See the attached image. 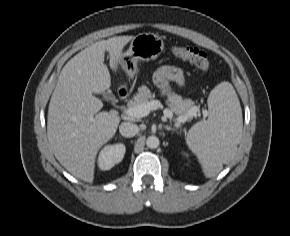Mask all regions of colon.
Here are the masks:
<instances>
[{"label":"colon","mask_w":290,"mask_h":236,"mask_svg":"<svg viewBox=\"0 0 290 236\" xmlns=\"http://www.w3.org/2000/svg\"><path fill=\"white\" fill-rule=\"evenodd\" d=\"M175 56L189 61L202 71H208L210 69V62L207 54L195 47L190 46H177L173 48Z\"/></svg>","instance_id":"obj_1"}]
</instances>
